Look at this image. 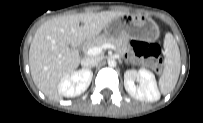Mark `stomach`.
<instances>
[{
  "instance_id": "1",
  "label": "stomach",
  "mask_w": 203,
  "mask_h": 123,
  "mask_svg": "<svg viewBox=\"0 0 203 123\" xmlns=\"http://www.w3.org/2000/svg\"><path fill=\"white\" fill-rule=\"evenodd\" d=\"M139 20V19H138ZM142 23V24H141ZM144 27V30L150 32L152 37L156 38L158 35V28L154 23L142 22L140 19V26ZM105 35H116L118 33L129 34L131 29L128 25H124L120 20H115L104 28Z\"/></svg>"
}]
</instances>
